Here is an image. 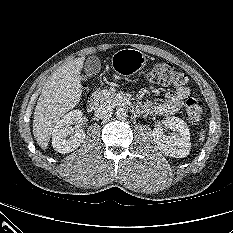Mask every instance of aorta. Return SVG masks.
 Listing matches in <instances>:
<instances>
[{"label":"aorta","mask_w":233,"mask_h":233,"mask_svg":"<svg viewBox=\"0 0 233 233\" xmlns=\"http://www.w3.org/2000/svg\"><path fill=\"white\" fill-rule=\"evenodd\" d=\"M116 117L120 120L126 119L128 117V112L125 108H118L116 110Z\"/></svg>","instance_id":"aorta-1"}]
</instances>
